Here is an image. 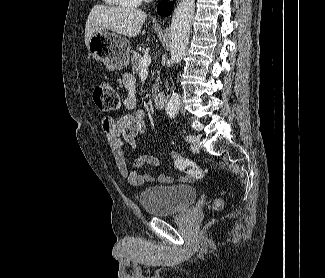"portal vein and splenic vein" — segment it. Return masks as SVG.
<instances>
[{"label": "portal vein and splenic vein", "mask_w": 325, "mask_h": 278, "mask_svg": "<svg viewBox=\"0 0 325 278\" xmlns=\"http://www.w3.org/2000/svg\"><path fill=\"white\" fill-rule=\"evenodd\" d=\"M151 63V57L150 55L146 52L144 53L143 57L140 60V68H144L149 66Z\"/></svg>", "instance_id": "obj_1"}]
</instances>
